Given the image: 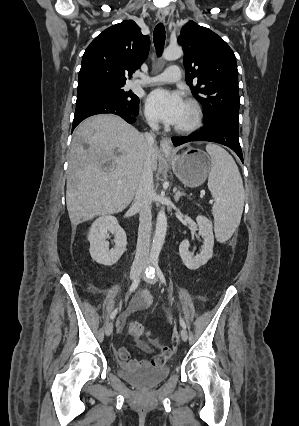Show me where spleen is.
<instances>
[{
    "label": "spleen",
    "instance_id": "obj_1",
    "mask_svg": "<svg viewBox=\"0 0 299 426\" xmlns=\"http://www.w3.org/2000/svg\"><path fill=\"white\" fill-rule=\"evenodd\" d=\"M206 151L212 162L208 188L215 200L212 208L215 234L220 242H224L240 224L245 198L243 181L234 159L226 150L208 144Z\"/></svg>",
    "mask_w": 299,
    "mask_h": 426
}]
</instances>
